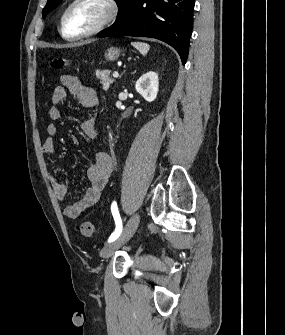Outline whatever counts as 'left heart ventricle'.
I'll list each match as a JSON object with an SVG mask.
<instances>
[{
  "label": "left heart ventricle",
  "mask_w": 285,
  "mask_h": 335,
  "mask_svg": "<svg viewBox=\"0 0 285 335\" xmlns=\"http://www.w3.org/2000/svg\"><path fill=\"white\" fill-rule=\"evenodd\" d=\"M106 14V8L100 4L82 3L74 9L73 24L81 29L92 28L102 21Z\"/></svg>",
  "instance_id": "1"
}]
</instances>
